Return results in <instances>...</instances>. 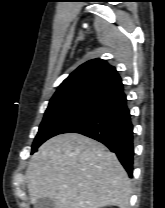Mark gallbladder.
Masks as SVG:
<instances>
[{
    "label": "gallbladder",
    "instance_id": "1",
    "mask_svg": "<svg viewBox=\"0 0 165 208\" xmlns=\"http://www.w3.org/2000/svg\"><path fill=\"white\" fill-rule=\"evenodd\" d=\"M34 208H56V205L52 199L42 197L34 203Z\"/></svg>",
    "mask_w": 165,
    "mask_h": 208
}]
</instances>
